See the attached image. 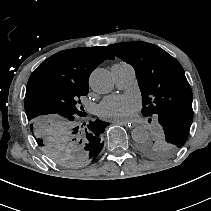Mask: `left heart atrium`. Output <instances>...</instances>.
<instances>
[{
	"mask_svg": "<svg viewBox=\"0 0 211 211\" xmlns=\"http://www.w3.org/2000/svg\"><path fill=\"white\" fill-rule=\"evenodd\" d=\"M140 108L139 100L132 95L109 96L97 107V114L105 118H125Z\"/></svg>",
	"mask_w": 211,
	"mask_h": 211,
	"instance_id": "left-heart-atrium-1",
	"label": "left heart atrium"
}]
</instances>
